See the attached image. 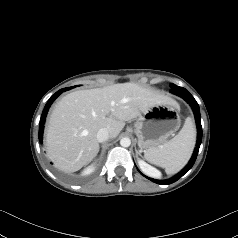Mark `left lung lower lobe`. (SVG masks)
Segmentation results:
<instances>
[{"label":"left lung lower lobe","mask_w":238,"mask_h":238,"mask_svg":"<svg viewBox=\"0 0 238 238\" xmlns=\"http://www.w3.org/2000/svg\"><path fill=\"white\" fill-rule=\"evenodd\" d=\"M170 92L185 99L189 103V105L192 107L194 115H195V119H196L198 133H197V144H196V148L194 150L193 156H192L191 160L189 161L188 165L180 173H178L173 178H171L169 180H164V181H159V180H155V179L144 176L147 179L151 180L152 182L162 184V185H168V184H171V183L177 181L179 178H181L186 172H188L192 168V166L194 165L195 160L197 158L199 147H200L201 141H202L201 116H200V109H199L198 103L196 102L194 97L189 93V91H187L183 87L174 85V86H172Z\"/></svg>","instance_id":"obj_1"}]
</instances>
